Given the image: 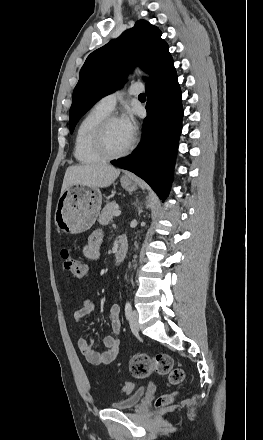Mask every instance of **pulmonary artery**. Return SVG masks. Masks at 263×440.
<instances>
[{
  "label": "pulmonary artery",
  "mask_w": 263,
  "mask_h": 440,
  "mask_svg": "<svg viewBox=\"0 0 263 440\" xmlns=\"http://www.w3.org/2000/svg\"><path fill=\"white\" fill-rule=\"evenodd\" d=\"M142 90H143V88L140 85H138L137 83H132L129 88V93L132 95H137V94H140L142 92ZM121 97H122L121 92L111 93V94H108V95L102 97L97 102L96 105L105 109L108 112H111L114 109V107L117 103V100H119Z\"/></svg>",
  "instance_id": "1"
}]
</instances>
